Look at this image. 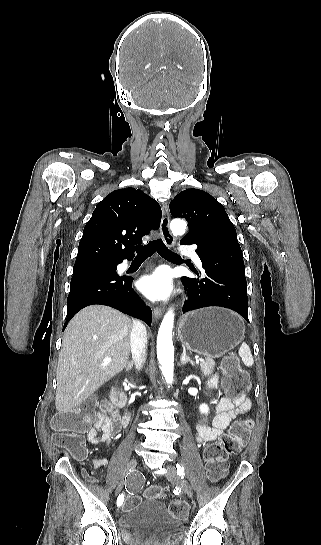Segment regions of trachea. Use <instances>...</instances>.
Returning a JSON list of instances; mask_svg holds the SVG:
<instances>
[{
  "label": "trachea",
  "instance_id": "1",
  "mask_svg": "<svg viewBox=\"0 0 321 545\" xmlns=\"http://www.w3.org/2000/svg\"><path fill=\"white\" fill-rule=\"evenodd\" d=\"M137 252L136 258H148L153 255V253L158 252L161 257L166 258V260H175L182 261L180 255L177 253L171 252L166 245L162 242L161 238L158 240H152L147 245H140L135 247Z\"/></svg>",
  "mask_w": 321,
  "mask_h": 545
}]
</instances>
